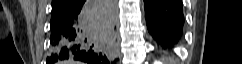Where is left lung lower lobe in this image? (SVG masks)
I'll return each mask as SVG.
<instances>
[{
    "mask_svg": "<svg viewBox=\"0 0 242 64\" xmlns=\"http://www.w3.org/2000/svg\"><path fill=\"white\" fill-rule=\"evenodd\" d=\"M149 33L164 48H172L183 35L181 0H144Z\"/></svg>",
    "mask_w": 242,
    "mask_h": 64,
    "instance_id": "obj_1",
    "label": "left lung lower lobe"
}]
</instances>
